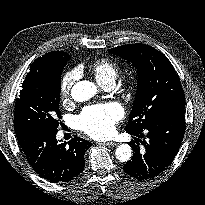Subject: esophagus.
I'll return each mask as SVG.
<instances>
[{
  "label": "esophagus",
  "instance_id": "esophagus-1",
  "mask_svg": "<svg viewBox=\"0 0 205 205\" xmlns=\"http://www.w3.org/2000/svg\"><path fill=\"white\" fill-rule=\"evenodd\" d=\"M103 146H107V147H114L117 145L116 142H104V143H101Z\"/></svg>",
  "mask_w": 205,
  "mask_h": 205
}]
</instances>
